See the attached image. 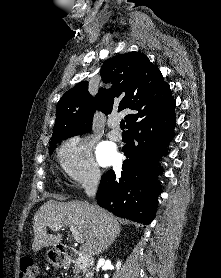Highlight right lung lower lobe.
I'll return each mask as SVG.
<instances>
[{
	"mask_svg": "<svg viewBox=\"0 0 221 278\" xmlns=\"http://www.w3.org/2000/svg\"><path fill=\"white\" fill-rule=\"evenodd\" d=\"M174 107L128 128L123 147L127 159L121 173L107 171L101 178L97 202L114 215L148 225L155 218L160 184L156 177L158 153L166 154L176 122Z\"/></svg>",
	"mask_w": 221,
	"mask_h": 278,
	"instance_id": "98d812e1",
	"label": "right lung lower lobe"
}]
</instances>
